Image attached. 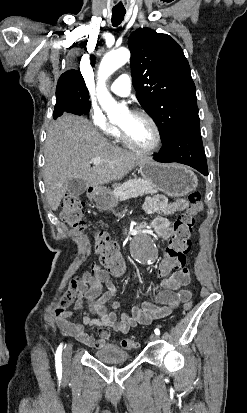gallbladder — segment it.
<instances>
[{"label": "gallbladder", "mask_w": 247, "mask_h": 413, "mask_svg": "<svg viewBox=\"0 0 247 413\" xmlns=\"http://www.w3.org/2000/svg\"><path fill=\"white\" fill-rule=\"evenodd\" d=\"M87 188L86 180L83 178H71L68 182L67 190L70 196H79V194H83Z\"/></svg>", "instance_id": "bac80fb5"}]
</instances>
